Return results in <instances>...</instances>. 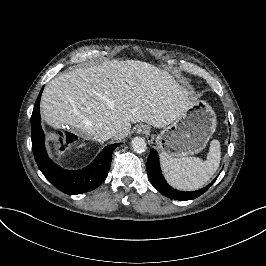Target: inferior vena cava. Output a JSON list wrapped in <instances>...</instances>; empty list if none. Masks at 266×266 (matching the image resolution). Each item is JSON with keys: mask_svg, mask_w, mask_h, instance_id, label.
I'll list each match as a JSON object with an SVG mask.
<instances>
[{"mask_svg": "<svg viewBox=\"0 0 266 266\" xmlns=\"http://www.w3.org/2000/svg\"><path fill=\"white\" fill-rule=\"evenodd\" d=\"M115 134H116L115 129H110V130L107 129L105 131L97 132L95 139L99 142H104V141H107L108 139L112 138L113 136H115Z\"/></svg>", "mask_w": 266, "mask_h": 266, "instance_id": "inferior-vena-cava-1", "label": "inferior vena cava"}]
</instances>
